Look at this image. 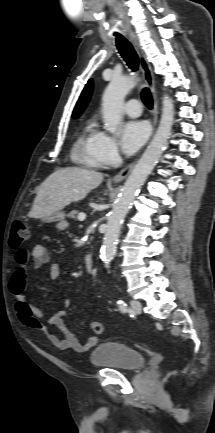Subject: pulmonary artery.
Listing matches in <instances>:
<instances>
[{"label":"pulmonary artery","instance_id":"pulmonary-artery-1","mask_svg":"<svg viewBox=\"0 0 215 433\" xmlns=\"http://www.w3.org/2000/svg\"><path fill=\"white\" fill-rule=\"evenodd\" d=\"M124 110L131 117H138L141 114V104L137 99H130L124 105Z\"/></svg>","mask_w":215,"mask_h":433}]
</instances>
